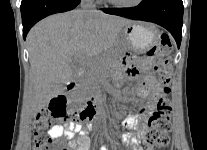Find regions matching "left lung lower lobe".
Instances as JSON below:
<instances>
[{
  "instance_id": "left-lung-lower-lobe-1",
  "label": "left lung lower lobe",
  "mask_w": 207,
  "mask_h": 150,
  "mask_svg": "<svg viewBox=\"0 0 207 150\" xmlns=\"http://www.w3.org/2000/svg\"><path fill=\"white\" fill-rule=\"evenodd\" d=\"M105 13L134 20L156 23L166 28L175 38L178 48L182 38V0H143L133 8H103Z\"/></svg>"
}]
</instances>
